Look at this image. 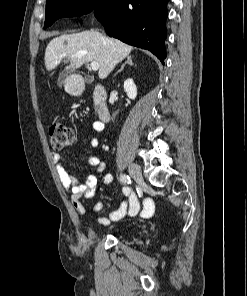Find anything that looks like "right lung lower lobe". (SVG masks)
Here are the masks:
<instances>
[{
    "label": "right lung lower lobe",
    "mask_w": 247,
    "mask_h": 296,
    "mask_svg": "<svg viewBox=\"0 0 247 296\" xmlns=\"http://www.w3.org/2000/svg\"><path fill=\"white\" fill-rule=\"evenodd\" d=\"M168 1L112 0L105 11L94 14L109 36L147 49L163 63Z\"/></svg>",
    "instance_id": "98d812e1"
}]
</instances>
